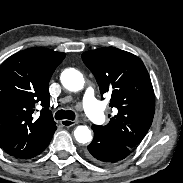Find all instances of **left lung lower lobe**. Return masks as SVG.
<instances>
[{
  "mask_svg": "<svg viewBox=\"0 0 183 183\" xmlns=\"http://www.w3.org/2000/svg\"><path fill=\"white\" fill-rule=\"evenodd\" d=\"M92 129L94 138L86 150L89 159L101 164H110L118 162L130 154L132 148L108 137L94 125Z\"/></svg>",
  "mask_w": 183,
  "mask_h": 183,
  "instance_id": "1",
  "label": "left lung lower lobe"
}]
</instances>
